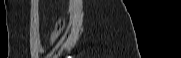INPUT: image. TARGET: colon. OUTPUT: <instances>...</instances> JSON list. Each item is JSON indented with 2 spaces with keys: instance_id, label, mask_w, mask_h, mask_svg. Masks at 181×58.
<instances>
[{
  "instance_id": "colon-1",
  "label": "colon",
  "mask_w": 181,
  "mask_h": 58,
  "mask_svg": "<svg viewBox=\"0 0 181 58\" xmlns=\"http://www.w3.org/2000/svg\"><path fill=\"white\" fill-rule=\"evenodd\" d=\"M62 29V25L61 24H58L57 25V28H56V31H55V35L58 34Z\"/></svg>"
}]
</instances>
